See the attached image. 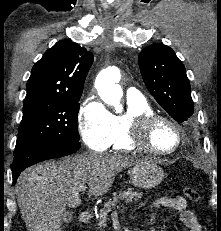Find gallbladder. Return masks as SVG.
Here are the masks:
<instances>
[{
	"instance_id": "obj_1",
	"label": "gallbladder",
	"mask_w": 221,
	"mask_h": 231,
	"mask_svg": "<svg viewBox=\"0 0 221 231\" xmlns=\"http://www.w3.org/2000/svg\"><path fill=\"white\" fill-rule=\"evenodd\" d=\"M73 220V213L70 211H66L62 217V222L69 223Z\"/></svg>"
}]
</instances>
